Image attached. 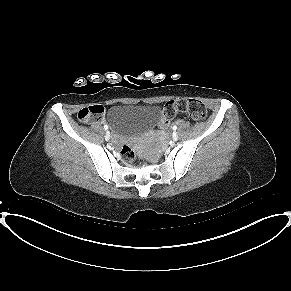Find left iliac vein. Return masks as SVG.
<instances>
[{"label":"left iliac vein","instance_id":"4c4485c4","mask_svg":"<svg viewBox=\"0 0 291 291\" xmlns=\"http://www.w3.org/2000/svg\"><path fill=\"white\" fill-rule=\"evenodd\" d=\"M172 138H173L174 141H177L179 136H178V134L176 132H174L173 135H172Z\"/></svg>","mask_w":291,"mask_h":291}]
</instances>
